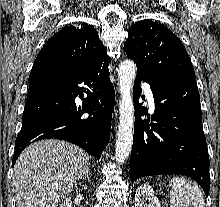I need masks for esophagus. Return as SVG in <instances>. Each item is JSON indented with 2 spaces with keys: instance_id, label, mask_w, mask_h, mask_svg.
<instances>
[{
  "instance_id": "34e87169",
  "label": "esophagus",
  "mask_w": 220,
  "mask_h": 207,
  "mask_svg": "<svg viewBox=\"0 0 220 207\" xmlns=\"http://www.w3.org/2000/svg\"><path fill=\"white\" fill-rule=\"evenodd\" d=\"M114 112H115V117H117V110L115 109V111H114Z\"/></svg>"
}]
</instances>
